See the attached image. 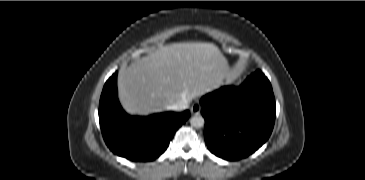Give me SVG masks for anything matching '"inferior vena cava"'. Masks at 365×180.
Returning <instances> with one entry per match:
<instances>
[{
  "mask_svg": "<svg viewBox=\"0 0 365 180\" xmlns=\"http://www.w3.org/2000/svg\"><path fill=\"white\" fill-rule=\"evenodd\" d=\"M189 107L188 101L186 99H182L179 102L168 107L169 110L181 111L187 109Z\"/></svg>",
  "mask_w": 365,
  "mask_h": 180,
  "instance_id": "1",
  "label": "inferior vena cava"
}]
</instances>
